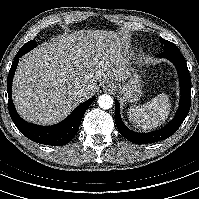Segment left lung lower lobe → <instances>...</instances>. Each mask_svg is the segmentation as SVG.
Segmentation results:
<instances>
[{
	"mask_svg": "<svg viewBox=\"0 0 199 199\" xmlns=\"http://www.w3.org/2000/svg\"><path fill=\"white\" fill-rule=\"evenodd\" d=\"M158 57H165L176 66L180 83V103L174 118L164 127L149 133H136L129 130L121 120L120 105L115 100V123L120 134L130 142L136 144L155 143L167 139L175 133L186 118L191 105V77L185 58L179 49L164 50Z\"/></svg>",
	"mask_w": 199,
	"mask_h": 199,
	"instance_id": "left-lung-lower-lobe-1",
	"label": "left lung lower lobe"
}]
</instances>
